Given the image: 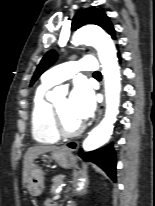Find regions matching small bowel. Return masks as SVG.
Instances as JSON below:
<instances>
[{
  "instance_id": "c3829d8e",
  "label": "small bowel",
  "mask_w": 155,
  "mask_h": 206,
  "mask_svg": "<svg viewBox=\"0 0 155 206\" xmlns=\"http://www.w3.org/2000/svg\"><path fill=\"white\" fill-rule=\"evenodd\" d=\"M45 206H54V204L52 202H46Z\"/></svg>"
}]
</instances>
